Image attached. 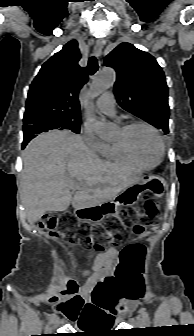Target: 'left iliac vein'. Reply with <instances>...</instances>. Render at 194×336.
<instances>
[{
	"label": "left iliac vein",
	"mask_w": 194,
	"mask_h": 336,
	"mask_svg": "<svg viewBox=\"0 0 194 336\" xmlns=\"http://www.w3.org/2000/svg\"><path fill=\"white\" fill-rule=\"evenodd\" d=\"M137 320H138V322L141 323V324L144 322L143 317H141V316H138V317H137ZM144 323H145V322H144Z\"/></svg>",
	"instance_id": "left-iliac-vein-1"
}]
</instances>
